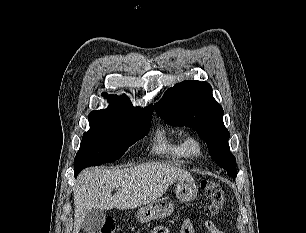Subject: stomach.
<instances>
[{
  "mask_svg": "<svg viewBox=\"0 0 306 233\" xmlns=\"http://www.w3.org/2000/svg\"><path fill=\"white\" fill-rule=\"evenodd\" d=\"M198 187L193 178L178 180L176 184V196L181 202H189L196 198ZM174 202L169 197L159 198L150 204L141 207L137 217L141 222H149L155 219H163L172 214Z\"/></svg>",
  "mask_w": 306,
  "mask_h": 233,
  "instance_id": "obj_1",
  "label": "stomach"
}]
</instances>
